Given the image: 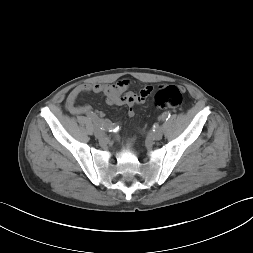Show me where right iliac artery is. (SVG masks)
<instances>
[{"mask_svg": "<svg viewBox=\"0 0 253 253\" xmlns=\"http://www.w3.org/2000/svg\"><path fill=\"white\" fill-rule=\"evenodd\" d=\"M96 125H98L101 129H108L110 132H115L119 129V126L116 124L106 123L98 119L97 116L92 115L89 117Z\"/></svg>", "mask_w": 253, "mask_h": 253, "instance_id": "1", "label": "right iliac artery"}]
</instances>
